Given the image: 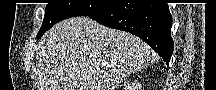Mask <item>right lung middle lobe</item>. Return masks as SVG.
<instances>
[{
  "label": "right lung middle lobe",
  "instance_id": "right-lung-middle-lobe-1",
  "mask_svg": "<svg viewBox=\"0 0 216 90\" xmlns=\"http://www.w3.org/2000/svg\"><path fill=\"white\" fill-rule=\"evenodd\" d=\"M111 4H47L42 26L37 34L39 39L54 24L74 16H87L101 11Z\"/></svg>",
  "mask_w": 216,
  "mask_h": 90
}]
</instances>
